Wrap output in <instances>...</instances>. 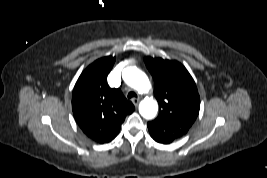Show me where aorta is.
Masks as SVG:
<instances>
[{
	"mask_svg": "<svg viewBox=\"0 0 267 178\" xmlns=\"http://www.w3.org/2000/svg\"><path fill=\"white\" fill-rule=\"evenodd\" d=\"M123 80L127 85L139 93H148L151 89L147 75L137 67H127L122 72ZM158 104L153 98H146L139 104V112L145 119H152L156 116Z\"/></svg>",
	"mask_w": 267,
	"mask_h": 178,
	"instance_id": "762f6f07",
	"label": "aorta"
}]
</instances>
